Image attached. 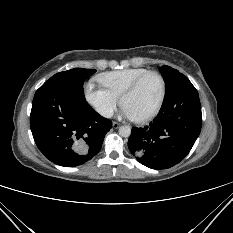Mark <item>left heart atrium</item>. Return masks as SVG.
<instances>
[{"label": "left heart atrium", "mask_w": 233, "mask_h": 233, "mask_svg": "<svg viewBox=\"0 0 233 233\" xmlns=\"http://www.w3.org/2000/svg\"><path fill=\"white\" fill-rule=\"evenodd\" d=\"M121 113L123 116L127 117V118H133V115L132 113L130 112V110L125 107V106H122V110H121Z\"/></svg>", "instance_id": "39dd6f15"}]
</instances>
